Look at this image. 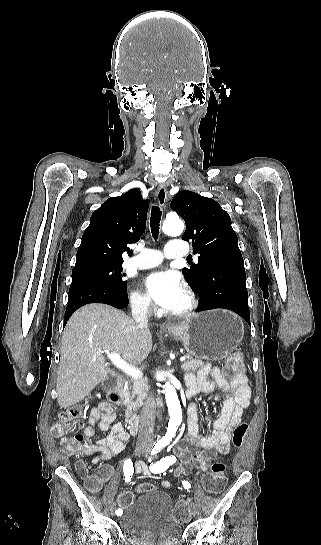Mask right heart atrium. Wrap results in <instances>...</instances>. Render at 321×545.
<instances>
[{"label":"right heart atrium","instance_id":"obj_1","mask_svg":"<svg viewBox=\"0 0 321 545\" xmlns=\"http://www.w3.org/2000/svg\"><path fill=\"white\" fill-rule=\"evenodd\" d=\"M132 310L142 316H152L154 307L150 300L140 292H132L129 297Z\"/></svg>","mask_w":321,"mask_h":545}]
</instances>
